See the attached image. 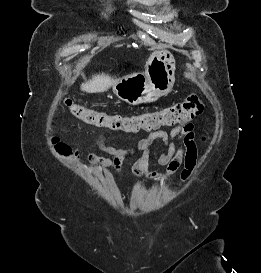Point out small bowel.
<instances>
[{"mask_svg": "<svg viewBox=\"0 0 261 273\" xmlns=\"http://www.w3.org/2000/svg\"><path fill=\"white\" fill-rule=\"evenodd\" d=\"M157 140L162 141L164 144V150L158 158L159 165L165 167L164 171L149 170L152 146ZM176 141L179 142L178 145ZM95 142L102 151L112 158H101L94 153L86 152L85 157L90 164L101 171L113 170L120 173L125 160L139 155L132 165V174L137 179H164L174 174L183 165L180 178L185 182L191 177L197 163L198 147L195 142L194 125L192 123L177 125L170 132L154 130L132 148L110 146L101 134H95ZM74 154L77 158L81 157L78 148L75 149Z\"/></svg>", "mask_w": 261, "mask_h": 273, "instance_id": "small-bowel-1", "label": "small bowel"}]
</instances>
